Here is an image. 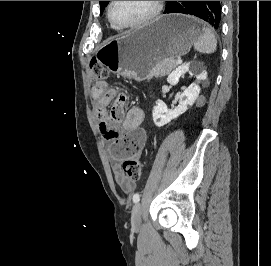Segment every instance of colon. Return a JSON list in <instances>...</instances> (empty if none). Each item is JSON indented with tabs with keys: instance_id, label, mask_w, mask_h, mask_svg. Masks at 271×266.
<instances>
[{
	"instance_id": "5ec220e1",
	"label": "colon",
	"mask_w": 271,
	"mask_h": 266,
	"mask_svg": "<svg viewBox=\"0 0 271 266\" xmlns=\"http://www.w3.org/2000/svg\"><path fill=\"white\" fill-rule=\"evenodd\" d=\"M108 76L107 71L98 63H91L89 68L90 81L101 84ZM122 99L126 98L125 93H120ZM122 174L132 181H138L142 174L141 162L137 159H128L120 164Z\"/></svg>"
}]
</instances>
